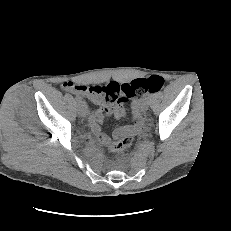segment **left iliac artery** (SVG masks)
Instances as JSON below:
<instances>
[{"label":"left iliac artery","instance_id":"obj_1","mask_svg":"<svg viewBox=\"0 0 231 231\" xmlns=\"http://www.w3.org/2000/svg\"><path fill=\"white\" fill-rule=\"evenodd\" d=\"M144 97H145V98H150L151 95H150V94H145Z\"/></svg>","mask_w":231,"mask_h":231}]
</instances>
